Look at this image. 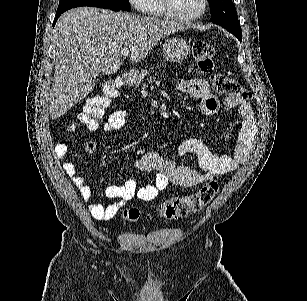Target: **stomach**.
<instances>
[{"instance_id": "obj_1", "label": "stomach", "mask_w": 307, "mask_h": 301, "mask_svg": "<svg viewBox=\"0 0 307 301\" xmlns=\"http://www.w3.org/2000/svg\"><path fill=\"white\" fill-rule=\"evenodd\" d=\"M190 52V44H188L185 38H180V36H171V38H166L165 42L162 44V54L164 56L165 62H182L187 58ZM148 68H142V70H133L127 78L128 84L132 86H137L148 74Z\"/></svg>"}]
</instances>
